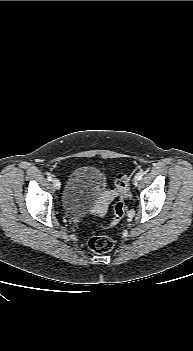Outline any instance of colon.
<instances>
[{
	"instance_id": "colon-1",
	"label": "colon",
	"mask_w": 193,
	"mask_h": 351,
	"mask_svg": "<svg viewBox=\"0 0 193 351\" xmlns=\"http://www.w3.org/2000/svg\"><path fill=\"white\" fill-rule=\"evenodd\" d=\"M129 176L120 173L115 178L114 194L118 197V201L114 206V216L110 223V227L117 225L124 216V198L128 193ZM88 247L95 253H105L112 249L113 240L106 235H95L88 240Z\"/></svg>"
}]
</instances>
